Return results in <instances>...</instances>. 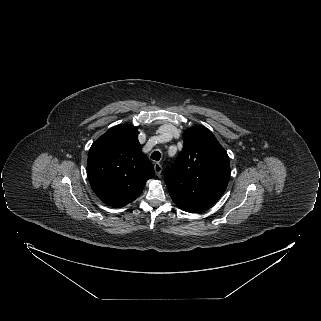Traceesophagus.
Segmentation results:
<instances>
[{"instance_id": "obj_1", "label": "esophagus", "mask_w": 321, "mask_h": 321, "mask_svg": "<svg viewBox=\"0 0 321 321\" xmlns=\"http://www.w3.org/2000/svg\"><path fill=\"white\" fill-rule=\"evenodd\" d=\"M154 171L157 176H160L162 173V166L160 163H155L154 164Z\"/></svg>"}]
</instances>
